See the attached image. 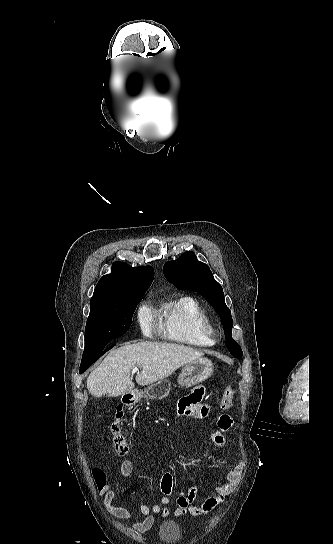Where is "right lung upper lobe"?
Returning <instances> with one entry per match:
<instances>
[{"mask_svg":"<svg viewBox=\"0 0 333 544\" xmlns=\"http://www.w3.org/2000/svg\"><path fill=\"white\" fill-rule=\"evenodd\" d=\"M154 278L150 266L132 268L124 262H114L111 273L102 276L91 302L131 296L146 291Z\"/></svg>","mask_w":333,"mask_h":544,"instance_id":"obj_1","label":"right lung upper lobe"}]
</instances>
